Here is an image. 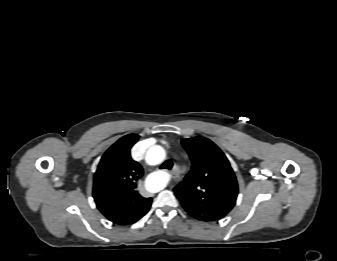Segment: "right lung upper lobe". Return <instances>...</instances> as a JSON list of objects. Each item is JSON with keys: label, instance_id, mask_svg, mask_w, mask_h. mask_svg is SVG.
<instances>
[{"label": "right lung upper lobe", "instance_id": "right-lung-upper-lobe-1", "mask_svg": "<svg viewBox=\"0 0 337 261\" xmlns=\"http://www.w3.org/2000/svg\"><path fill=\"white\" fill-rule=\"evenodd\" d=\"M139 136L129 134L115 142L102 156L94 176L93 197L97 208L113 223H135L150 209L152 198L137 191L143 168L130 155Z\"/></svg>", "mask_w": 337, "mask_h": 261}]
</instances>
